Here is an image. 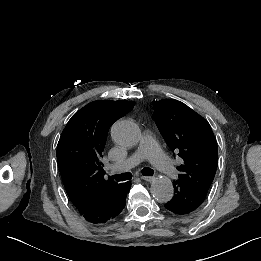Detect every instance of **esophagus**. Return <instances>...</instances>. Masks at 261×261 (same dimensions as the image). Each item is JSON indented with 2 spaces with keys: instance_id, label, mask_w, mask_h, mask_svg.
<instances>
[{
  "instance_id": "esophagus-1",
  "label": "esophagus",
  "mask_w": 261,
  "mask_h": 261,
  "mask_svg": "<svg viewBox=\"0 0 261 261\" xmlns=\"http://www.w3.org/2000/svg\"><path fill=\"white\" fill-rule=\"evenodd\" d=\"M141 178L148 182H152L155 180V177H153V176H142Z\"/></svg>"
}]
</instances>
